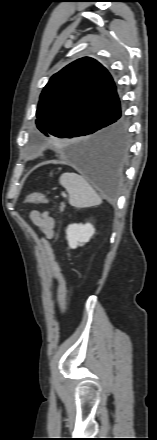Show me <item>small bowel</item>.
I'll list each match as a JSON object with an SVG mask.
<instances>
[{
	"mask_svg": "<svg viewBox=\"0 0 157 440\" xmlns=\"http://www.w3.org/2000/svg\"><path fill=\"white\" fill-rule=\"evenodd\" d=\"M32 222L41 230L48 238L53 237L54 219L47 212L33 210L30 213Z\"/></svg>",
	"mask_w": 157,
	"mask_h": 440,
	"instance_id": "c3829d8e",
	"label": "small bowel"
}]
</instances>
